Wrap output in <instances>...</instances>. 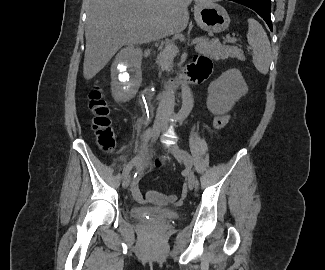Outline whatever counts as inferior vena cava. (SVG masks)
<instances>
[{"label": "inferior vena cava", "instance_id": "inferior-vena-cava-1", "mask_svg": "<svg viewBox=\"0 0 325 270\" xmlns=\"http://www.w3.org/2000/svg\"><path fill=\"white\" fill-rule=\"evenodd\" d=\"M174 105V92L170 87H166L157 109L156 120L165 122L167 117L173 112Z\"/></svg>", "mask_w": 325, "mask_h": 270}]
</instances>
